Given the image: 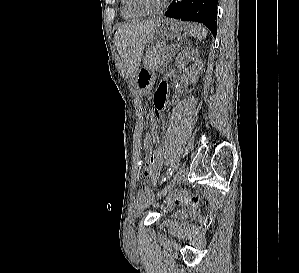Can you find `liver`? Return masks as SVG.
I'll use <instances>...</instances> for the list:
<instances>
[{"label": "liver", "instance_id": "obj_1", "mask_svg": "<svg viewBox=\"0 0 299 273\" xmlns=\"http://www.w3.org/2000/svg\"><path fill=\"white\" fill-rule=\"evenodd\" d=\"M160 19L122 24L115 33V45L130 76L139 71L145 47L153 40Z\"/></svg>", "mask_w": 299, "mask_h": 273}]
</instances>
